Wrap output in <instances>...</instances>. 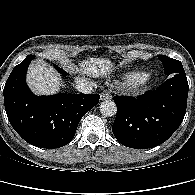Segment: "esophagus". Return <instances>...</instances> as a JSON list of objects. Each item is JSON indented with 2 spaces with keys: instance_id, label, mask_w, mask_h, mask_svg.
<instances>
[{
  "instance_id": "obj_1",
  "label": "esophagus",
  "mask_w": 195,
  "mask_h": 195,
  "mask_svg": "<svg viewBox=\"0 0 195 195\" xmlns=\"http://www.w3.org/2000/svg\"><path fill=\"white\" fill-rule=\"evenodd\" d=\"M110 99H112L111 93L108 90H104L101 93V100H110Z\"/></svg>"
}]
</instances>
